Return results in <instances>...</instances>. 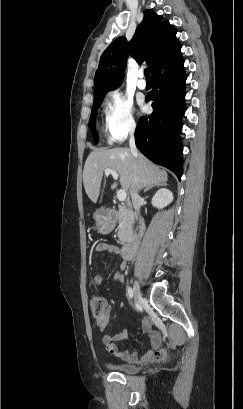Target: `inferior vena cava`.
<instances>
[{
    "mask_svg": "<svg viewBox=\"0 0 243 409\" xmlns=\"http://www.w3.org/2000/svg\"><path fill=\"white\" fill-rule=\"evenodd\" d=\"M129 147H130V151L133 154V156L137 158L138 151L135 145L134 129H132V131L130 132ZM131 197H132V203H133L134 209L137 211L140 210L142 199L136 189L133 190Z\"/></svg>",
    "mask_w": 243,
    "mask_h": 409,
    "instance_id": "1",
    "label": "inferior vena cava"
}]
</instances>
